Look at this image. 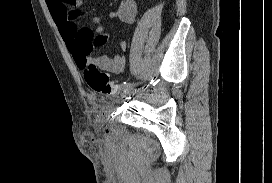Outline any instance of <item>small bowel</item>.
I'll return each instance as SVG.
<instances>
[{
  "label": "small bowel",
  "instance_id": "1",
  "mask_svg": "<svg viewBox=\"0 0 272 183\" xmlns=\"http://www.w3.org/2000/svg\"><path fill=\"white\" fill-rule=\"evenodd\" d=\"M46 3L69 52L80 70L94 66L111 74L123 72L125 59L122 56L102 55L94 57L91 55L96 47L106 44L109 40V34L105 31L100 16H91V21L95 26L92 29L78 23L81 0H46ZM137 12L136 0H121L112 16L131 25L135 22ZM126 46V42L120 43L122 50H125Z\"/></svg>",
  "mask_w": 272,
  "mask_h": 183
}]
</instances>
